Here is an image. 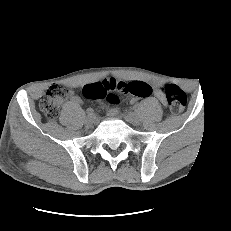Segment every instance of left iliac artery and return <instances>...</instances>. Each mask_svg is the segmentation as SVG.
I'll use <instances>...</instances> for the list:
<instances>
[{"instance_id":"left-iliac-artery-1","label":"left iliac artery","mask_w":231,"mask_h":231,"mask_svg":"<svg viewBox=\"0 0 231 231\" xmlns=\"http://www.w3.org/2000/svg\"><path fill=\"white\" fill-rule=\"evenodd\" d=\"M132 112L133 113H138L139 112V107L138 106H133L132 107Z\"/></svg>"}]
</instances>
